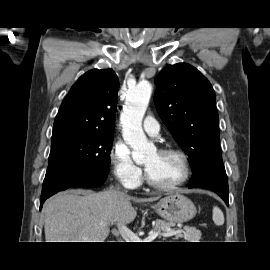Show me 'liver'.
<instances>
[{
    "label": "liver",
    "mask_w": 270,
    "mask_h": 270,
    "mask_svg": "<svg viewBox=\"0 0 270 270\" xmlns=\"http://www.w3.org/2000/svg\"><path fill=\"white\" fill-rule=\"evenodd\" d=\"M159 197L136 198L116 190L93 193L65 191L44 208L46 242H104L109 226L126 225L137 215L130 201L153 202Z\"/></svg>",
    "instance_id": "obj_1"
}]
</instances>
